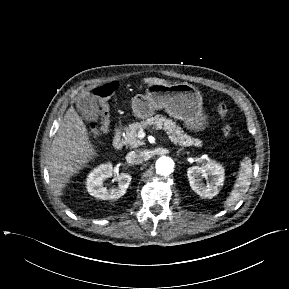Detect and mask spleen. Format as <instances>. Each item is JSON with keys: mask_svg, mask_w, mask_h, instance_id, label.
Instances as JSON below:
<instances>
[{"mask_svg": "<svg viewBox=\"0 0 289 289\" xmlns=\"http://www.w3.org/2000/svg\"><path fill=\"white\" fill-rule=\"evenodd\" d=\"M252 178V163L250 159H244L241 162L240 170L237 179L233 186L230 196L224 202L225 207L235 205L246 194L251 184Z\"/></svg>", "mask_w": 289, "mask_h": 289, "instance_id": "1", "label": "spleen"}]
</instances>
